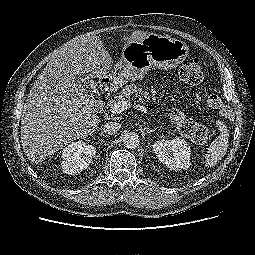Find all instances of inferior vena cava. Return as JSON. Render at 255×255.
<instances>
[{
  "label": "inferior vena cava",
  "instance_id": "602c4592",
  "mask_svg": "<svg viewBox=\"0 0 255 255\" xmlns=\"http://www.w3.org/2000/svg\"><path fill=\"white\" fill-rule=\"evenodd\" d=\"M120 127H121V124L117 122H108L104 125L103 130L106 134L113 135L117 133Z\"/></svg>",
  "mask_w": 255,
  "mask_h": 255
}]
</instances>
